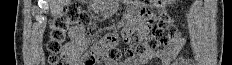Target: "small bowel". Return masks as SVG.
<instances>
[{
	"mask_svg": "<svg viewBox=\"0 0 232 65\" xmlns=\"http://www.w3.org/2000/svg\"><path fill=\"white\" fill-rule=\"evenodd\" d=\"M118 17H138L137 23L125 24L127 32H123V29H116V32L104 33L105 37H115V40H123L125 45H136L142 37L149 34V28H153L154 12H118ZM108 31H115V26H108ZM69 35L70 42L64 48L65 59L69 65H80L79 55L88 46L89 39L85 36L83 29L79 27L70 29ZM185 43V38L180 33H176L161 50L134 56L121 64L113 61H108L106 64L144 65L151 60H159L161 65H191L190 60L179 57V52Z\"/></svg>",
	"mask_w": 232,
	"mask_h": 65,
	"instance_id": "obj_1",
	"label": "small bowel"
}]
</instances>
